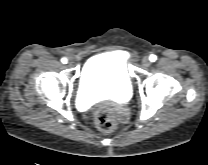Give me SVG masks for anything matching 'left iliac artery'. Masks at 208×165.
Segmentation results:
<instances>
[{"label": "left iliac artery", "instance_id": "1", "mask_svg": "<svg viewBox=\"0 0 208 165\" xmlns=\"http://www.w3.org/2000/svg\"><path fill=\"white\" fill-rule=\"evenodd\" d=\"M149 59H150L151 62H154V61H156L157 56L152 54V55H150Z\"/></svg>", "mask_w": 208, "mask_h": 165}]
</instances>
